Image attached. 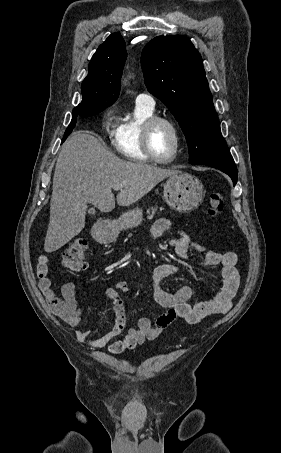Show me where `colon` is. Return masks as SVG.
<instances>
[{
  "label": "colon",
  "mask_w": 281,
  "mask_h": 453,
  "mask_svg": "<svg viewBox=\"0 0 281 453\" xmlns=\"http://www.w3.org/2000/svg\"><path fill=\"white\" fill-rule=\"evenodd\" d=\"M207 203L211 215L216 216L224 206V198L220 193H212L207 197ZM88 259L86 239H72L68 243L67 250L63 255L64 262H87Z\"/></svg>",
  "instance_id": "colon-1"
}]
</instances>
